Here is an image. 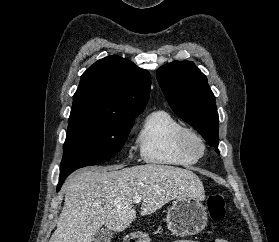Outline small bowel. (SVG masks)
Instances as JSON below:
<instances>
[{"instance_id": "1", "label": "small bowel", "mask_w": 279, "mask_h": 242, "mask_svg": "<svg viewBox=\"0 0 279 242\" xmlns=\"http://www.w3.org/2000/svg\"><path fill=\"white\" fill-rule=\"evenodd\" d=\"M174 242H197V241H192V240H177ZM214 242H229L228 240L224 239V238H217L214 240Z\"/></svg>"}]
</instances>
